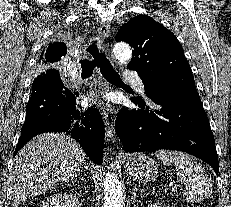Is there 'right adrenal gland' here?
<instances>
[{
  "label": "right adrenal gland",
  "instance_id": "obj_1",
  "mask_svg": "<svg viewBox=\"0 0 231 207\" xmlns=\"http://www.w3.org/2000/svg\"><path fill=\"white\" fill-rule=\"evenodd\" d=\"M80 176H81V169H78L77 172L74 174V176H72L71 178L75 179L76 182L78 178L82 180Z\"/></svg>",
  "mask_w": 231,
  "mask_h": 207
}]
</instances>
